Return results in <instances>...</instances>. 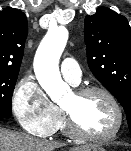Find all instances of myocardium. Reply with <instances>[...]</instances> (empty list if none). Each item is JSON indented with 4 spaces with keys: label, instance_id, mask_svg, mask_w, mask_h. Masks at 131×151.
<instances>
[{
    "label": "myocardium",
    "instance_id": "obj_1",
    "mask_svg": "<svg viewBox=\"0 0 131 151\" xmlns=\"http://www.w3.org/2000/svg\"><path fill=\"white\" fill-rule=\"evenodd\" d=\"M73 93L78 98H84L91 94H101V95L105 96L110 101V103L112 104V106L116 112L117 123H116L114 130L108 135L98 136V135L89 134V133L83 131L78 126L72 113L69 112L64 107H62L65 124H66V128H67L68 132L73 137L81 139V140H86V141L104 143V142H109V141L114 140L118 136L120 131L122 130V127L124 124V112H123L122 106H121L120 102L118 101V99L116 98V96L108 89L101 87V86H94V85L79 87V88L75 89Z\"/></svg>",
    "mask_w": 131,
    "mask_h": 151
}]
</instances>
